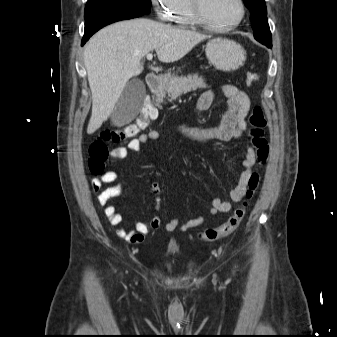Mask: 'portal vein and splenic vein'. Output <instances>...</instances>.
Here are the masks:
<instances>
[{
	"label": "portal vein and splenic vein",
	"instance_id": "1",
	"mask_svg": "<svg viewBox=\"0 0 337 337\" xmlns=\"http://www.w3.org/2000/svg\"><path fill=\"white\" fill-rule=\"evenodd\" d=\"M146 58H147L148 60H151V59L153 58L152 53H148V54L146 55Z\"/></svg>",
	"mask_w": 337,
	"mask_h": 337
}]
</instances>
